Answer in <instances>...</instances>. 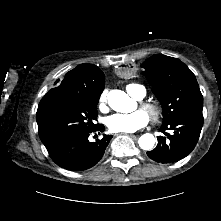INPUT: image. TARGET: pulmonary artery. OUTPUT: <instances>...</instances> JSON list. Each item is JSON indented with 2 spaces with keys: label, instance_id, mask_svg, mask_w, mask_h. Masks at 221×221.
Listing matches in <instances>:
<instances>
[{
  "label": "pulmonary artery",
  "instance_id": "e3ab8cb5",
  "mask_svg": "<svg viewBox=\"0 0 221 221\" xmlns=\"http://www.w3.org/2000/svg\"><path fill=\"white\" fill-rule=\"evenodd\" d=\"M133 91L135 92L137 99H142L146 93L145 88L141 85L135 84L133 86Z\"/></svg>",
  "mask_w": 221,
  "mask_h": 221
}]
</instances>
